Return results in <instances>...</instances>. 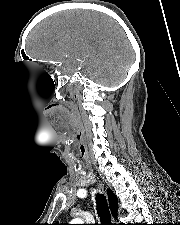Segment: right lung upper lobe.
<instances>
[{"label": "right lung upper lobe", "instance_id": "1", "mask_svg": "<svg viewBox=\"0 0 180 225\" xmlns=\"http://www.w3.org/2000/svg\"><path fill=\"white\" fill-rule=\"evenodd\" d=\"M107 194H108V200H109V205H110V209H111V213L113 215V217L116 218L117 216V212H118V200L116 195L110 190H107ZM53 225H64V224H53Z\"/></svg>", "mask_w": 180, "mask_h": 225}]
</instances>
